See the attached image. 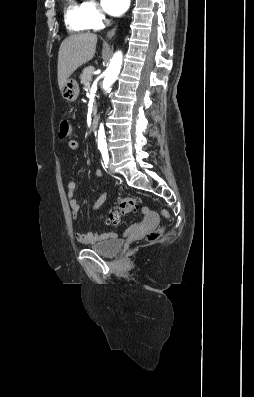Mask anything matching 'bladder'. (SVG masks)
Listing matches in <instances>:
<instances>
[{"instance_id":"bladder-1","label":"bladder","mask_w":254,"mask_h":397,"mask_svg":"<svg viewBox=\"0 0 254 397\" xmlns=\"http://www.w3.org/2000/svg\"><path fill=\"white\" fill-rule=\"evenodd\" d=\"M121 247L122 243L119 239H110L94 244L90 248L103 257L112 258L120 252Z\"/></svg>"}]
</instances>
